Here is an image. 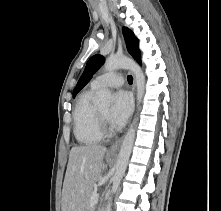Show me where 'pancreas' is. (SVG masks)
Returning a JSON list of instances; mask_svg holds the SVG:
<instances>
[{"mask_svg": "<svg viewBox=\"0 0 221 211\" xmlns=\"http://www.w3.org/2000/svg\"><path fill=\"white\" fill-rule=\"evenodd\" d=\"M96 193L95 190H91L90 193L87 195L85 202H84V210L83 211H93V206L91 205V197Z\"/></svg>", "mask_w": 221, "mask_h": 211, "instance_id": "pancreas-1", "label": "pancreas"}]
</instances>
